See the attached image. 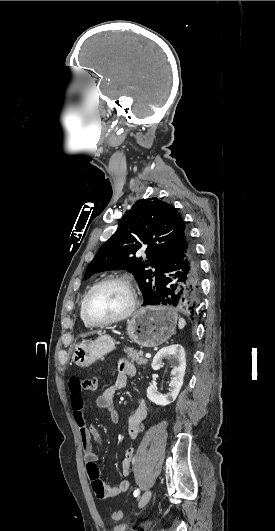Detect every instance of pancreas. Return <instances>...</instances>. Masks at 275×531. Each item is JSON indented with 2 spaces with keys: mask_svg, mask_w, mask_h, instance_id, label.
<instances>
[{
  "mask_svg": "<svg viewBox=\"0 0 275 531\" xmlns=\"http://www.w3.org/2000/svg\"><path fill=\"white\" fill-rule=\"evenodd\" d=\"M123 351L131 363H137V365H146L148 363V359L143 357V351H135V349H130V347H124Z\"/></svg>",
  "mask_w": 275,
  "mask_h": 531,
  "instance_id": "pancreas-1",
  "label": "pancreas"
}]
</instances>
